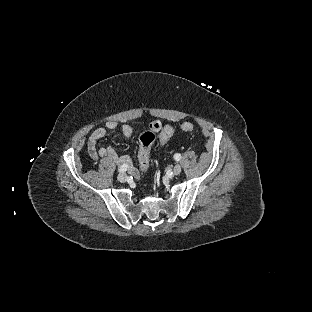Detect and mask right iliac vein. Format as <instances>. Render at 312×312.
I'll return each instance as SVG.
<instances>
[{"instance_id":"right-iliac-vein-1","label":"right iliac vein","mask_w":312,"mask_h":312,"mask_svg":"<svg viewBox=\"0 0 312 312\" xmlns=\"http://www.w3.org/2000/svg\"><path fill=\"white\" fill-rule=\"evenodd\" d=\"M117 179L118 181L120 182H125L127 180V175L125 173H120L118 176H117Z\"/></svg>"}]
</instances>
